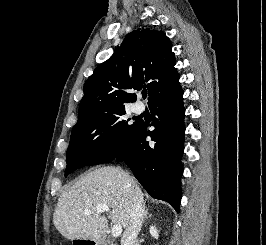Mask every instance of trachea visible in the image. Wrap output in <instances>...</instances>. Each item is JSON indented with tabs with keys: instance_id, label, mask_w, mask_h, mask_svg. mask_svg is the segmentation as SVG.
<instances>
[{
	"instance_id": "trachea-1",
	"label": "trachea",
	"mask_w": 266,
	"mask_h": 245,
	"mask_svg": "<svg viewBox=\"0 0 266 245\" xmlns=\"http://www.w3.org/2000/svg\"><path fill=\"white\" fill-rule=\"evenodd\" d=\"M142 96H143V98H146L147 93H143Z\"/></svg>"
}]
</instances>
